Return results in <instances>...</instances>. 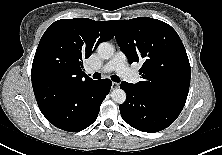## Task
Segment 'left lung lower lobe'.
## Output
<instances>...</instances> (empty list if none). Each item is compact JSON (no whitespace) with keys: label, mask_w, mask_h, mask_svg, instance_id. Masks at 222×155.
I'll return each instance as SVG.
<instances>
[{"label":"left lung lower lobe","mask_w":222,"mask_h":155,"mask_svg":"<svg viewBox=\"0 0 222 155\" xmlns=\"http://www.w3.org/2000/svg\"><path fill=\"white\" fill-rule=\"evenodd\" d=\"M127 98L119 105L123 120L142 132H158L171 125L183 107L141 92L133 84L122 82Z\"/></svg>","instance_id":"obj_1"}]
</instances>
